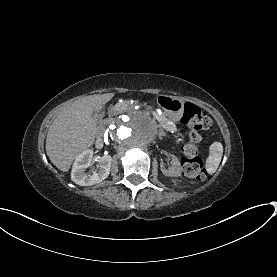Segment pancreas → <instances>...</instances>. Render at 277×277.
Segmentation results:
<instances>
[{"label":"pancreas","instance_id":"pancreas-1","mask_svg":"<svg viewBox=\"0 0 277 277\" xmlns=\"http://www.w3.org/2000/svg\"><path fill=\"white\" fill-rule=\"evenodd\" d=\"M141 111V112H145L147 114H150L152 118H157V124L159 126H167L168 124V117L166 115H160V110L156 109L154 105H151L150 103L147 102H133V101H127V102H120L117 104H114L112 106L108 107V114L109 115H117L120 114L124 111L127 112H133V111ZM168 131H170L171 135L174 136L173 138V143L176 146L181 145L182 143V138L181 136L178 135L179 130L178 128H176L175 124L170 123L167 126Z\"/></svg>","mask_w":277,"mask_h":277}]
</instances>
